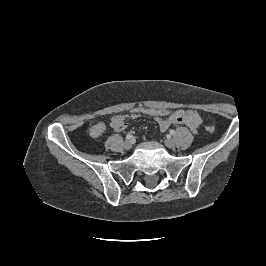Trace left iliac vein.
<instances>
[{"label":"left iliac vein","mask_w":266,"mask_h":266,"mask_svg":"<svg viewBox=\"0 0 266 266\" xmlns=\"http://www.w3.org/2000/svg\"><path fill=\"white\" fill-rule=\"evenodd\" d=\"M165 145H166L168 148L173 149V148H175V146H176V142H175V140L172 139V138H166V139H165Z\"/></svg>","instance_id":"left-iliac-vein-1"}]
</instances>
